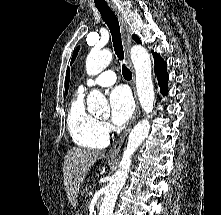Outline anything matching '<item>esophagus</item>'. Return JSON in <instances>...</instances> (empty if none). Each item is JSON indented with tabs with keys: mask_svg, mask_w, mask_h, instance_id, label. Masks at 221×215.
<instances>
[{
	"mask_svg": "<svg viewBox=\"0 0 221 215\" xmlns=\"http://www.w3.org/2000/svg\"><path fill=\"white\" fill-rule=\"evenodd\" d=\"M111 9L114 11V13L116 14V16L118 18L120 28H121V33H122V40H123V46H124V50H125L126 62L129 66V68L133 72V65H132V61H131V58H130V48H131L130 29L128 27V24H127V22H126V20L123 16V14L120 12V10L114 5H111ZM133 92H134V98H135V101H136L135 113L132 117L131 123L128 126V128L123 132V134L116 141L114 146L109 150V152H108L109 157H116L119 154V152L121 150V147H122L127 135L129 134V132L132 128V125L134 124L135 120L137 119V117L139 115V102H138V98H137V94H136V90H135L134 85H133Z\"/></svg>",
	"mask_w": 221,
	"mask_h": 215,
	"instance_id": "1",
	"label": "esophagus"
}]
</instances>
